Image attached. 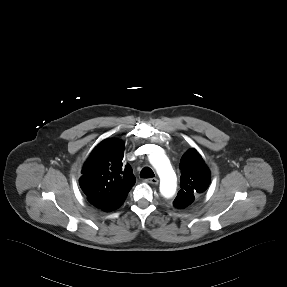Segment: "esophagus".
<instances>
[{"instance_id":"1","label":"esophagus","mask_w":287,"mask_h":287,"mask_svg":"<svg viewBox=\"0 0 287 287\" xmlns=\"http://www.w3.org/2000/svg\"><path fill=\"white\" fill-rule=\"evenodd\" d=\"M147 183H150V184H158L159 180L157 178H148L145 180Z\"/></svg>"}]
</instances>
